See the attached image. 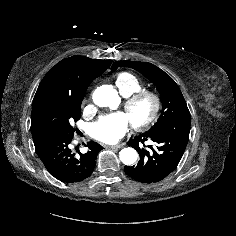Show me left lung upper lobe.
<instances>
[{"instance_id":"5c2ea615","label":"left lung upper lobe","mask_w":236,"mask_h":236,"mask_svg":"<svg viewBox=\"0 0 236 236\" xmlns=\"http://www.w3.org/2000/svg\"><path fill=\"white\" fill-rule=\"evenodd\" d=\"M118 67H130L143 74L158 89L162 100V111L155 125L148 131H156L169 122L190 118V112L180 88L175 81L160 68L148 62L116 61L112 70Z\"/></svg>"}]
</instances>
